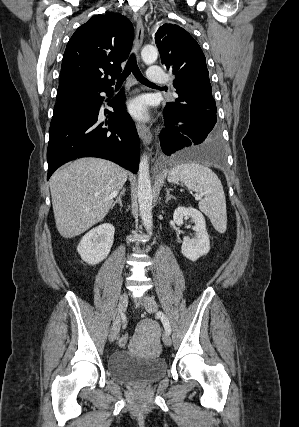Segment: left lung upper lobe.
Masks as SVG:
<instances>
[{
	"label": "left lung upper lobe",
	"mask_w": 299,
	"mask_h": 427,
	"mask_svg": "<svg viewBox=\"0 0 299 427\" xmlns=\"http://www.w3.org/2000/svg\"><path fill=\"white\" fill-rule=\"evenodd\" d=\"M155 42L162 64L176 77L173 85L179 97L207 103L216 113L206 59L197 41L180 26L164 24L157 30Z\"/></svg>",
	"instance_id": "obj_1"
}]
</instances>
